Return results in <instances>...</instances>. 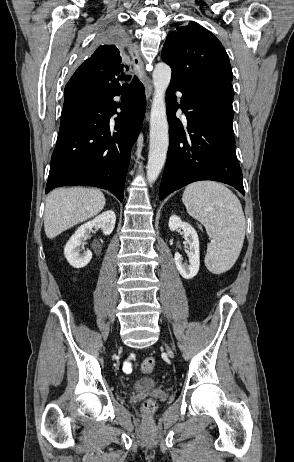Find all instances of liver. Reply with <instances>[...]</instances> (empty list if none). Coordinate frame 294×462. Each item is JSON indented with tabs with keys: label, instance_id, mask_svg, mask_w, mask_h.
I'll list each match as a JSON object with an SVG mask.
<instances>
[{
	"label": "liver",
	"instance_id": "liver-1",
	"mask_svg": "<svg viewBox=\"0 0 294 462\" xmlns=\"http://www.w3.org/2000/svg\"><path fill=\"white\" fill-rule=\"evenodd\" d=\"M105 206V197L98 189L59 188L46 199L44 229L47 238L53 239L65 230L92 218Z\"/></svg>",
	"mask_w": 294,
	"mask_h": 462
}]
</instances>
